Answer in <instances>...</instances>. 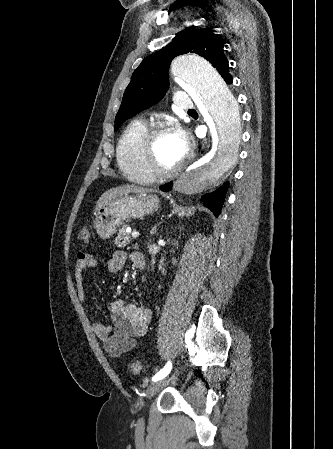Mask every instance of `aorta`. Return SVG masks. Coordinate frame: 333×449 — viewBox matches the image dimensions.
<instances>
[{"instance_id": "1", "label": "aorta", "mask_w": 333, "mask_h": 449, "mask_svg": "<svg viewBox=\"0 0 333 449\" xmlns=\"http://www.w3.org/2000/svg\"><path fill=\"white\" fill-rule=\"evenodd\" d=\"M171 73L202 107L217 135L215 150L202 156L173 183L179 195L207 192L220 185L226 169L236 160L240 143L238 105L217 70L196 54L177 56Z\"/></svg>"}]
</instances>
